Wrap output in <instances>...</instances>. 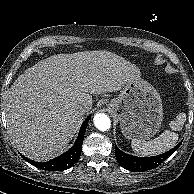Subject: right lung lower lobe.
<instances>
[{"instance_id": "98d812e1", "label": "right lung lower lobe", "mask_w": 194, "mask_h": 194, "mask_svg": "<svg viewBox=\"0 0 194 194\" xmlns=\"http://www.w3.org/2000/svg\"><path fill=\"white\" fill-rule=\"evenodd\" d=\"M89 119H90V116L83 122L79 135L73 147L67 152H65L64 154L48 162H42V163L35 162L22 155L21 156L23 157L24 160L36 166L37 168L48 170V171H59V170H65L72 167L80 158L84 134H85V130L88 125Z\"/></svg>"}]
</instances>
